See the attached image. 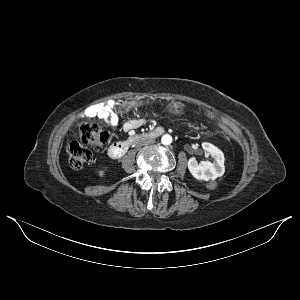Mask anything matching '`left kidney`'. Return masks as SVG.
<instances>
[{"label": "left kidney", "mask_w": 300, "mask_h": 300, "mask_svg": "<svg viewBox=\"0 0 300 300\" xmlns=\"http://www.w3.org/2000/svg\"><path fill=\"white\" fill-rule=\"evenodd\" d=\"M202 147L214 158V162L203 161L198 163L197 160L192 157L188 161V169L197 180H215L225 172L224 154L218 147L208 142L202 143Z\"/></svg>", "instance_id": "1"}]
</instances>
